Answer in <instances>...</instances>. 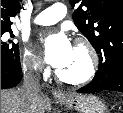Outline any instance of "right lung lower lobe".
<instances>
[{
  "label": "right lung lower lobe",
  "mask_w": 123,
  "mask_h": 113,
  "mask_svg": "<svg viewBox=\"0 0 123 113\" xmlns=\"http://www.w3.org/2000/svg\"><path fill=\"white\" fill-rule=\"evenodd\" d=\"M22 70L20 65L5 67L1 65V89L13 88L22 79Z\"/></svg>",
  "instance_id": "1"
}]
</instances>
